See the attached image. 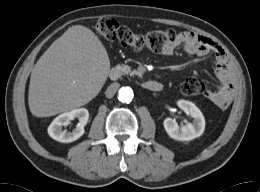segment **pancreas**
Wrapping results in <instances>:
<instances>
[{
    "label": "pancreas",
    "mask_w": 260,
    "mask_h": 192,
    "mask_svg": "<svg viewBox=\"0 0 260 192\" xmlns=\"http://www.w3.org/2000/svg\"><path fill=\"white\" fill-rule=\"evenodd\" d=\"M119 68L124 75H126V74H129L131 76H133V75H139L140 76L141 75V73L137 70L131 71V68L128 65L122 64V65H119Z\"/></svg>",
    "instance_id": "cf45deb5"
}]
</instances>
